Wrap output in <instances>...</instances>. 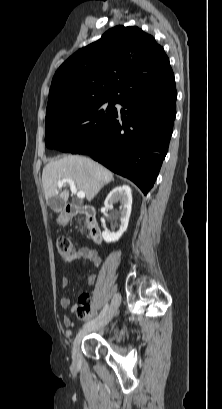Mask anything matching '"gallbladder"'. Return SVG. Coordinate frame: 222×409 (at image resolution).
<instances>
[{"label": "gallbladder", "mask_w": 222, "mask_h": 409, "mask_svg": "<svg viewBox=\"0 0 222 409\" xmlns=\"http://www.w3.org/2000/svg\"><path fill=\"white\" fill-rule=\"evenodd\" d=\"M63 204V201L61 200V205ZM48 205H52V198L48 200Z\"/></svg>", "instance_id": "bac80fb5"}]
</instances>
